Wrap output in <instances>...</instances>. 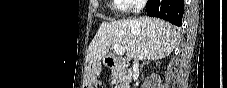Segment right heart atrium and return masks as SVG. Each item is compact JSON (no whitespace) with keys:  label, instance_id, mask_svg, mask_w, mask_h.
Segmentation results:
<instances>
[{"label":"right heart atrium","instance_id":"1","mask_svg":"<svg viewBox=\"0 0 227 88\" xmlns=\"http://www.w3.org/2000/svg\"><path fill=\"white\" fill-rule=\"evenodd\" d=\"M120 1L123 5V10L126 12L139 11L146 4V0H120Z\"/></svg>","mask_w":227,"mask_h":88}]
</instances>
